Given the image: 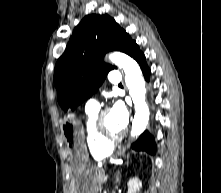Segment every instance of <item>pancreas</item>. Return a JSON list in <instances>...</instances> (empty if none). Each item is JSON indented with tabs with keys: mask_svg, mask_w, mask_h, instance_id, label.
I'll list each match as a JSON object with an SVG mask.
<instances>
[{
	"mask_svg": "<svg viewBox=\"0 0 221 193\" xmlns=\"http://www.w3.org/2000/svg\"><path fill=\"white\" fill-rule=\"evenodd\" d=\"M104 169H97L95 174V184H96V192L100 191L102 188V177L104 176Z\"/></svg>",
	"mask_w": 221,
	"mask_h": 193,
	"instance_id": "pancreas-1",
	"label": "pancreas"
}]
</instances>
